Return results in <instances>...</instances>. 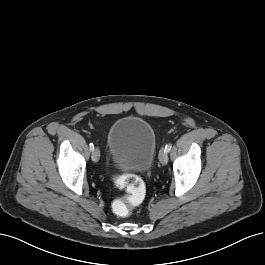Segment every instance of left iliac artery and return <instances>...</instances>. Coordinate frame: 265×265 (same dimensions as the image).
Here are the masks:
<instances>
[{"label": "left iliac artery", "mask_w": 265, "mask_h": 265, "mask_svg": "<svg viewBox=\"0 0 265 265\" xmlns=\"http://www.w3.org/2000/svg\"><path fill=\"white\" fill-rule=\"evenodd\" d=\"M171 148H172V144H167L165 146V151L168 153L171 150Z\"/></svg>", "instance_id": "44dca946"}]
</instances>
